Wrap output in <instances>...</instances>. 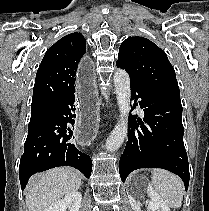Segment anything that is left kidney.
<instances>
[{
	"label": "left kidney",
	"mask_w": 209,
	"mask_h": 211,
	"mask_svg": "<svg viewBox=\"0 0 209 211\" xmlns=\"http://www.w3.org/2000/svg\"><path fill=\"white\" fill-rule=\"evenodd\" d=\"M146 193L149 196V200L146 202L148 205V211H170V208L166 205L163 199L155 192L150 184H144ZM140 185L138 183H131L129 187L128 198L130 205L134 211L141 210V202L138 201L140 195L138 189Z\"/></svg>",
	"instance_id": "5707ae66"
}]
</instances>
